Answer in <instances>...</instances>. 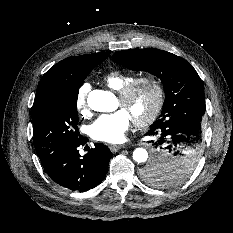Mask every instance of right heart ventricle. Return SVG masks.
<instances>
[{"mask_svg": "<svg viewBox=\"0 0 233 233\" xmlns=\"http://www.w3.org/2000/svg\"><path fill=\"white\" fill-rule=\"evenodd\" d=\"M135 75L122 70H111L102 76V81L112 90L119 92L123 86L132 81Z\"/></svg>", "mask_w": 233, "mask_h": 233, "instance_id": "1", "label": "right heart ventricle"}]
</instances>
